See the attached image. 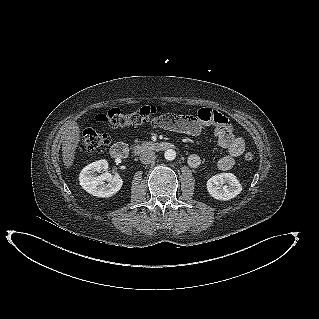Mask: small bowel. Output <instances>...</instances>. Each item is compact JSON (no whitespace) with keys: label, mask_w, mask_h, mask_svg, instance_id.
Listing matches in <instances>:
<instances>
[{"label":"small bowel","mask_w":319,"mask_h":319,"mask_svg":"<svg viewBox=\"0 0 319 319\" xmlns=\"http://www.w3.org/2000/svg\"><path fill=\"white\" fill-rule=\"evenodd\" d=\"M153 125L194 137L199 136L204 128H213L218 144L227 151L217 163L222 171L232 169L236 158L245 150V141L235 133L229 120L210 108L200 109L197 116L168 114L155 119ZM201 162L198 154H191L188 157V164L192 168H198Z\"/></svg>","instance_id":"c3829d8e"}]
</instances>
